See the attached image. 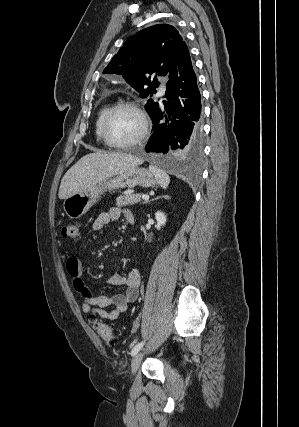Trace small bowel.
<instances>
[{
	"label": "small bowel",
	"mask_w": 299,
	"mask_h": 427,
	"mask_svg": "<svg viewBox=\"0 0 299 427\" xmlns=\"http://www.w3.org/2000/svg\"><path fill=\"white\" fill-rule=\"evenodd\" d=\"M126 221L133 214L127 209L112 207L107 212L100 214L92 225V231L97 232L112 222L117 221L121 216ZM66 269L71 277L75 289L82 295L81 307L84 313H87L91 319L102 318L106 320H117L125 313L130 303L138 297L139 286L141 282L140 272L136 269L128 271L126 274H113L108 278V282L114 286H124L123 293L112 295H94L84 285L83 282V263L76 256H71L66 262ZM112 306V310L107 307Z\"/></svg>",
	"instance_id": "c3829d8e"
}]
</instances>
